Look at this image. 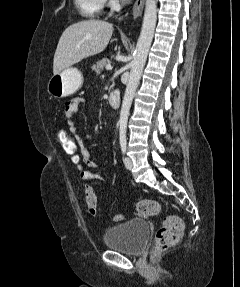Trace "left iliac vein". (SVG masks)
Segmentation results:
<instances>
[{
    "mask_svg": "<svg viewBox=\"0 0 240 287\" xmlns=\"http://www.w3.org/2000/svg\"><path fill=\"white\" fill-rule=\"evenodd\" d=\"M124 164L128 170L132 169V167H133L132 160L129 157L124 158Z\"/></svg>",
    "mask_w": 240,
    "mask_h": 287,
    "instance_id": "obj_1",
    "label": "left iliac vein"
}]
</instances>
